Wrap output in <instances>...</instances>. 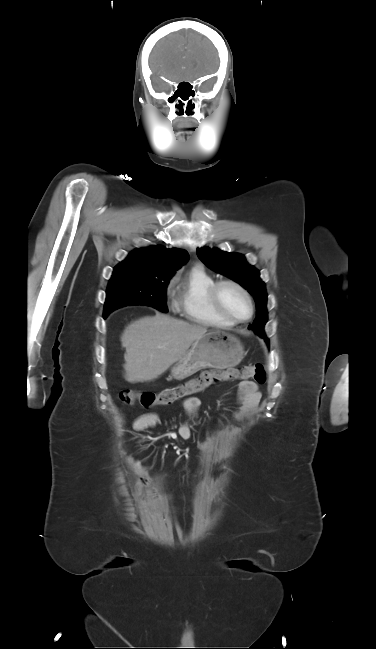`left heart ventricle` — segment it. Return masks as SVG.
<instances>
[{
  "instance_id": "b2bd125f",
  "label": "left heart ventricle",
  "mask_w": 376,
  "mask_h": 649,
  "mask_svg": "<svg viewBox=\"0 0 376 649\" xmlns=\"http://www.w3.org/2000/svg\"><path fill=\"white\" fill-rule=\"evenodd\" d=\"M222 301L230 314L245 318L249 314V305L244 296L235 288L225 286L221 290Z\"/></svg>"
}]
</instances>
